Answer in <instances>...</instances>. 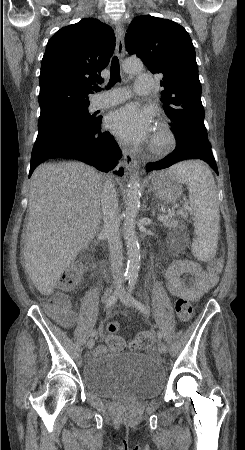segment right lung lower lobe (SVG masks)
Returning <instances> with one entry per match:
<instances>
[{
  "instance_id": "obj_1",
  "label": "right lung lower lobe",
  "mask_w": 245,
  "mask_h": 450,
  "mask_svg": "<svg viewBox=\"0 0 245 450\" xmlns=\"http://www.w3.org/2000/svg\"><path fill=\"white\" fill-rule=\"evenodd\" d=\"M101 120L97 117L84 129L70 131L33 149L29 177L40 163L52 158L81 160L104 172L114 169L122 154L110 133H100ZM115 173L122 176L123 169Z\"/></svg>"
}]
</instances>
